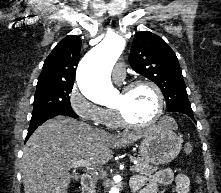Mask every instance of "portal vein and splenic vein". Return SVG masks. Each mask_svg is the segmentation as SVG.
I'll list each match as a JSON object with an SVG mask.
<instances>
[{"label":"portal vein and splenic vein","mask_w":221,"mask_h":193,"mask_svg":"<svg viewBox=\"0 0 221 193\" xmlns=\"http://www.w3.org/2000/svg\"><path fill=\"white\" fill-rule=\"evenodd\" d=\"M71 168H77V167H93V163L87 161V160H74L71 162L70 165ZM130 171H135V166H130Z\"/></svg>","instance_id":"1"}]
</instances>
